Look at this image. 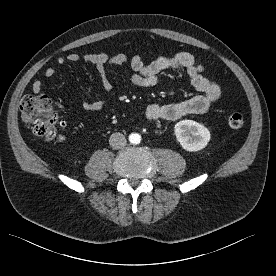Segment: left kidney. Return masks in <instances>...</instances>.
I'll return each instance as SVG.
<instances>
[{
    "label": "left kidney",
    "instance_id": "obj_1",
    "mask_svg": "<svg viewBox=\"0 0 276 276\" xmlns=\"http://www.w3.org/2000/svg\"><path fill=\"white\" fill-rule=\"evenodd\" d=\"M177 141L189 152H197L207 146L210 141V131L193 120H182L174 127Z\"/></svg>",
    "mask_w": 276,
    "mask_h": 276
}]
</instances>
